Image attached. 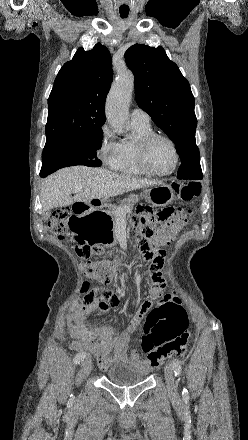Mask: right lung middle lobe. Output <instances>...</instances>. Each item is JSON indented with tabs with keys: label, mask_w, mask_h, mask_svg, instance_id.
Masks as SVG:
<instances>
[{
	"label": "right lung middle lobe",
	"mask_w": 248,
	"mask_h": 440,
	"mask_svg": "<svg viewBox=\"0 0 248 440\" xmlns=\"http://www.w3.org/2000/svg\"><path fill=\"white\" fill-rule=\"evenodd\" d=\"M102 139L103 131L98 128L83 135L46 141L40 176L46 177L60 168L73 165L101 166L97 150L101 148Z\"/></svg>",
	"instance_id": "right-lung-middle-lobe-1"
}]
</instances>
